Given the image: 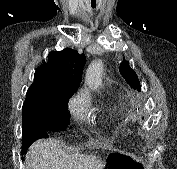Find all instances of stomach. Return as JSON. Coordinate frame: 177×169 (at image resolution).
Listing matches in <instances>:
<instances>
[{
    "label": "stomach",
    "instance_id": "stomach-1",
    "mask_svg": "<svg viewBox=\"0 0 177 169\" xmlns=\"http://www.w3.org/2000/svg\"><path fill=\"white\" fill-rule=\"evenodd\" d=\"M109 169H145L144 164L130 154H113L110 156Z\"/></svg>",
    "mask_w": 177,
    "mask_h": 169
}]
</instances>
